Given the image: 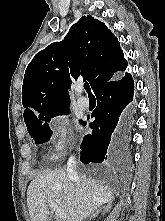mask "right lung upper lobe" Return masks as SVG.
<instances>
[{
	"mask_svg": "<svg viewBox=\"0 0 165 221\" xmlns=\"http://www.w3.org/2000/svg\"><path fill=\"white\" fill-rule=\"evenodd\" d=\"M127 65L117 37L103 22L82 16L64 40L37 53L27 66L22 87L25 123L69 107L72 80L83 77L95 92L120 78Z\"/></svg>",
	"mask_w": 165,
	"mask_h": 221,
	"instance_id": "right-lung-upper-lobe-1",
	"label": "right lung upper lobe"
}]
</instances>
